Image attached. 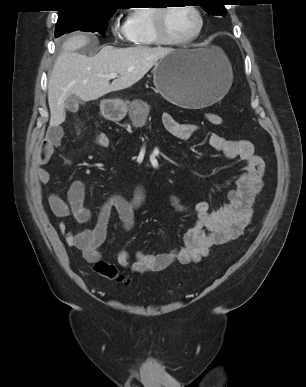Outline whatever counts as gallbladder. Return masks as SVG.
<instances>
[{
  "instance_id": "1",
  "label": "gallbladder",
  "mask_w": 306,
  "mask_h": 387,
  "mask_svg": "<svg viewBox=\"0 0 306 387\" xmlns=\"http://www.w3.org/2000/svg\"><path fill=\"white\" fill-rule=\"evenodd\" d=\"M79 103H81L80 98L77 96H70L65 101V107L70 111H76L78 109Z\"/></svg>"
}]
</instances>
